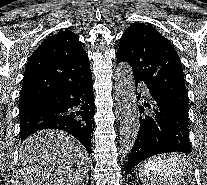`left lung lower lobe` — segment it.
Here are the masks:
<instances>
[{"instance_id":"obj_1","label":"left lung lower lobe","mask_w":207,"mask_h":185,"mask_svg":"<svg viewBox=\"0 0 207 185\" xmlns=\"http://www.w3.org/2000/svg\"><path fill=\"white\" fill-rule=\"evenodd\" d=\"M140 81L135 79L136 88ZM147 87L150 98L148 102H144V106H139L140 129L130 152L125 174L148 157L167 152H191L188 111ZM136 94L139 101L141 94Z\"/></svg>"}]
</instances>
